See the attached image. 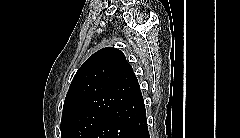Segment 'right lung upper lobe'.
<instances>
[{
    "instance_id": "right-lung-upper-lobe-1",
    "label": "right lung upper lobe",
    "mask_w": 240,
    "mask_h": 138,
    "mask_svg": "<svg viewBox=\"0 0 240 138\" xmlns=\"http://www.w3.org/2000/svg\"><path fill=\"white\" fill-rule=\"evenodd\" d=\"M139 95L138 80L122 51L106 47L90 56L75 74L62 118L84 111L109 113Z\"/></svg>"
}]
</instances>
